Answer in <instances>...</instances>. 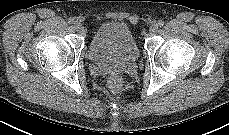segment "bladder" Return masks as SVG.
<instances>
[{
	"mask_svg": "<svg viewBox=\"0 0 229 135\" xmlns=\"http://www.w3.org/2000/svg\"><path fill=\"white\" fill-rule=\"evenodd\" d=\"M88 55L95 62H134L139 57V48L127 25L121 22H107L92 34L88 44Z\"/></svg>",
	"mask_w": 229,
	"mask_h": 135,
	"instance_id": "31cf9c89",
	"label": "bladder"
}]
</instances>
